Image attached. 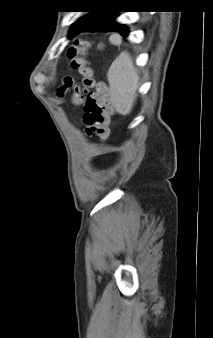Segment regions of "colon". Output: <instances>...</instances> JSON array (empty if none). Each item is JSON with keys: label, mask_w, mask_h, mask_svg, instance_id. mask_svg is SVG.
Here are the masks:
<instances>
[{"label": "colon", "mask_w": 213, "mask_h": 338, "mask_svg": "<svg viewBox=\"0 0 213 338\" xmlns=\"http://www.w3.org/2000/svg\"><path fill=\"white\" fill-rule=\"evenodd\" d=\"M90 43L76 40L67 50L71 68L82 75V86L87 93L84 104L83 124L90 137L105 138L109 133V101L108 91L104 83H96L95 68L86 59ZM74 81L70 76L64 78V87H73ZM73 103H80L79 89H75Z\"/></svg>", "instance_id": "5ec220e1"}]
</instances>
